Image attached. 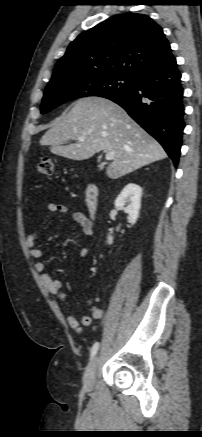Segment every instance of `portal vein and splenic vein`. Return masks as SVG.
I'll return each instance as SVG.
<instances>
[{
	"instance_id": "obj_1",
	"label": "portal vein and splenic vein",
	"mask_w": 202,
	"mask_h": 437,
	"mask_svg": "<svg viewBox=\"0 0 202 437\" xmlns=\"http://www.w3.org/2000/svg\"><path fill=\"white\" fill-rule=\"evenodd\" d=\"M77 140L80 141V142H81V141H84V137H83V136L78 137ZM114 157H115V153H114L113 151H109V152H107L106 155H105V159H106L107 161L113 160Z\"/></svg>"
}]
</instances>
